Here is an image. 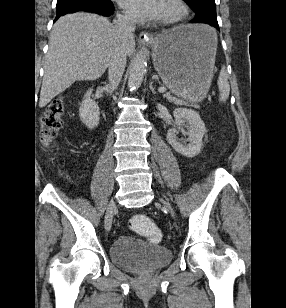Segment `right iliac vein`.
<instances>
[{"instance_id": "right-iliac-vein-1", "label": "right iliac vein", "mask_w": 286, "mask_h": 308, "mask_svg": "<svg viewBox=\"0 0 286 308\" xmlns=\"http://www.w3.org/2000/svg\"><path fill=\"white\" fill-rule=\"evenodd\" d=\"M117 206L115 202H110L107 211H106V215H105V229L107 231L111 230L112 227V221H113V216H114V212L116 210Z\"/></svg>"}]
</instances>
